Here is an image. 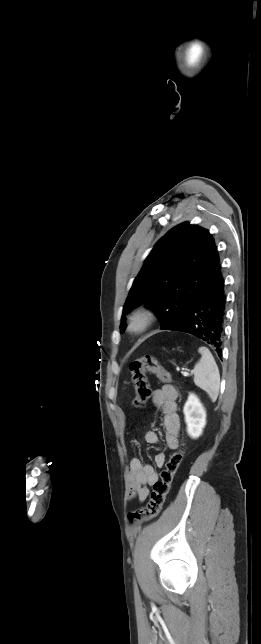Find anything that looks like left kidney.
Masks as SVG:
<instances>
[{
    "instance_id": "1",
    "label": "left kidney",
    "mask_w": 261,
    "mask_h": 644,
    "mask_svg": "<svg viewBox=\"0 0 261 644\" xmlns=\"http://www.w3.org/2000/svg\"><path fill=\"white\" fill-rule=\"evenodd\" d=\"M183 412L188 435L192 438H198L202 435L203 428L206 425V411L195 394H189Z\"/></svg>"
}]
</instances>
